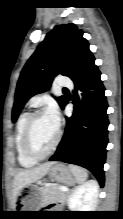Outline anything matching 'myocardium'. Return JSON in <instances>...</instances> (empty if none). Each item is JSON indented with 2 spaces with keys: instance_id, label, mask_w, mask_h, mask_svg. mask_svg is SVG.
<instances>
[{
  "instance_id": "f54148a6",
  "label": "myocardium",
  "mask_w": 123,
  "mask_h": 219,
  "mask_svg": "<svg viewBox=\"0 0 123 219\" xmlns=\"http://www.w3.org/2000/svg\"><path fill=\"white\" fill-rule=\"evenodd\" d=\"M47 113L46 110L44 109H39V110H35L33 112H31L28 116L27 122L25 124V128H24V134H23V148L24 151L26 153V155L33 159V160H42L45 159L46 157H48L49 155H51L54 150L57 148L58 144L60 143L61 137H62V130L60 125H57V134H56V138L53 141L52 145L50 146V148L43 152V153H38L36 152L31 144V129H32V125L35 121V119L41 115Z\"/></svg>"
}]
</instances>
